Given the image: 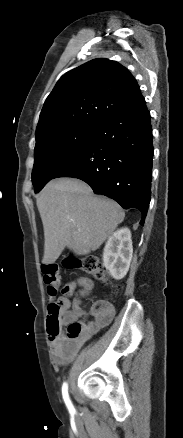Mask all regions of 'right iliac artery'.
<instances>
[{
	"label": "right iliac artery",
	"mask_w": 183,
	"mask_h": 438,
	"mask_svg": "<svg viewBox=\"0 0 183 438\" xmlns=\"http://www.w3.org/2000/svg\"><path fill=\"white\" fill-rule=\"evenodd\" d=\"M62 396H63V399H64L65 404H66L67 408L69 409V411L70 412L74 411V407H73V405L70 401V398H69L67 383H64L62 386Z\"/></svg>",
	"instance_id": "right-iliac-artery-1"
}]
</instances>
